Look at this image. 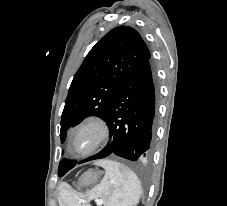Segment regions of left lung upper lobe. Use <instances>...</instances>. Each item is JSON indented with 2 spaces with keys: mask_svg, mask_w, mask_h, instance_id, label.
I'll use <instances>...</instances> for the list:
<instances>
[{
  "mask_svg": "<svg viewBox=\"0 0 227 206\" xmlns=\"http://www.w3.org/2000/svg\"><path fill=\"white\" fill-rule=\"evenodd\" d=\"M150 52L140 34L128 26L108 32L87 54L70 85L61 118V143L66 131L91 115L106 120L123 83L146 61ZM62 160L59 176L75 166Z\"/></svg>",
  "mask_w": 227,
  "mask_h": 206,
  "instance_id": "left-lung-upper-lobe-1",
  "label": "left lung upper lobe"
}]
</instances>
